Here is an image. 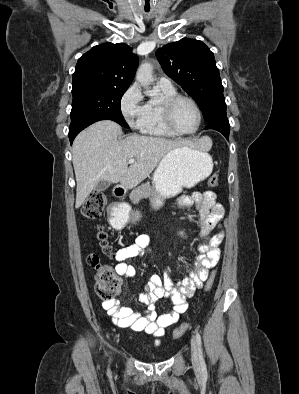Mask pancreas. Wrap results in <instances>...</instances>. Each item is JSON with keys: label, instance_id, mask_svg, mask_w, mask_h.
I'll return each instance as SVG.
<instances>
[{"label": "pancreas", "instance_id": "1", "mask_svg": "<svg viewBox=\"0 0 299 394\" xmlns=\"http://www.w3.org/2000/svg\"><path fill=\"white\" fill-rule=\"evenodd\" d=\"M134 195H139L140 197H154L156 196V193L154 189L150 186L149 183L141 185L133 194Z\"/></svg>", "mask_w": 299, "mask_h": 394}]
</instances>
